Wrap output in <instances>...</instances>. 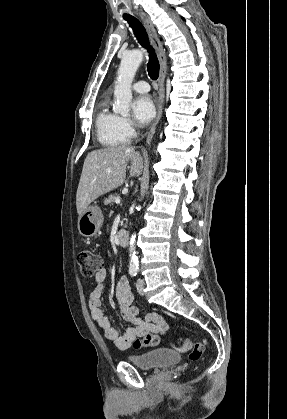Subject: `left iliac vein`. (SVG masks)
<instances>
[{"label": "left iliac vein", "mask_w": 287, "mask_h": 419, "mask_svg": "<svg viewBox=\"0 0 287 419\" xmlns=\"http://www.w3.org/2000/svg\"><path fill=\"white\" fill-rule=\"evenodd\" d=\"M137 291L140 295L144 294V280L139 278L136 283Z\"/></svg>", "instance_id": "left-iliac-vein-1"}]
</instances>
